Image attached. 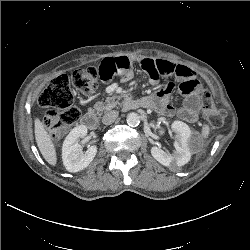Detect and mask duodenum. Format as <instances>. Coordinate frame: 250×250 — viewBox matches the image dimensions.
<instances>
[{
  "label": "duodenum",
  "instance_id": "obj_1",
  "mask_svg": "<svg viewBox=\"0 0 250 250\" xmlns=\"http://www.w3.org/2000/svg\"><path fill=\"white\" fill-rule=\"evenodd\" d=\"M140 106L141 105L137 100H126L123 102L122 109L123 110L137 109ZM82 123L89 129H95L98 126L97 117L93 112L85 113L82 118Z\"/></svg>",
  "mask_w": 250,
  "mask_h": 250
}]
</instances>
